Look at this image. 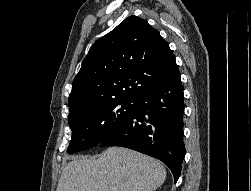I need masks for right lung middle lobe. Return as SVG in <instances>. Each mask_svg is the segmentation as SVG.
<instances>
[{
    "instance_id": "right-lung-middle-lobe-1",
    "label": "right lung middle lobe",
    "mask_w": 251,
    "mask_h": 191,
    "mask_svg": "<svg viewBox=\"0 0 251 191\" xmlns=\"http://www.w3.org/2000/svg\"><path fill=\"white\" fill-rule=\"evenodd\" d=\"M135 110L136 101L133 99H116L69 109L68 122L72 139L67 152L75 153L100 144Z\"/></svg>"
}]
</instances>
